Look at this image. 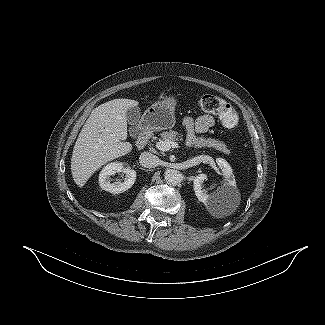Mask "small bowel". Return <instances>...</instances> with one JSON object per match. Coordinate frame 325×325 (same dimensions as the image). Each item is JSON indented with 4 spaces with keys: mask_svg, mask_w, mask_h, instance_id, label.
I'll return each instance as SVG.
<instances>
[{
    "mask_svg": "<svg viewBox=\"0 0 325 325\" xmlns=\"http://www.w3.org/2000/svg\"><path fill=\"white\" fill-rule=\"evenodd\" d=\"M215 120L213 116L205 114L194 119L192 117H185L183 119V126L187 131V145L193 146L196 142V136L200 133L208 131L214 126Z\"/></svg>",
    "mask_w": 325,
    "mask_h": 325,
    "instance_id": "small-bowel-1",
    "label": "small bowel"
}]
</instances>
